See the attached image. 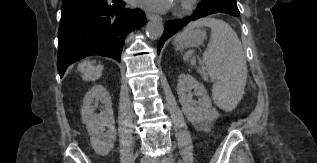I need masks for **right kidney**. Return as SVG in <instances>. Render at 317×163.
I'll list each match as a JSON object with an SVG mask.
<instances>
[{"label":"right kidney","instance_id":"obj_1","mask_svg":"<svg viewBox=\"0 0 317 163\" xmlns=\"http://www.w3.org/2000/svg\"><path fill=\"white\" fill-rule=\"evenodd\" d=\"M99 100L103 103L102 111L94 114L93 104ZM81 116L90 136L92 148L98 155H107L114 147L116 129L111 97L105 87L94 85L90 89L83 100ZM105 128L108 131L103 133Z\"/></svg>","mask_w":317,"mask_h":163}]
</instances>
